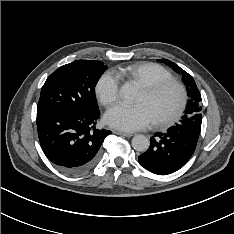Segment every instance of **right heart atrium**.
<instances>
[{
	"instance_id": "d8ad5b80",
	"label": "right heart atrium",
	"mask_w": 234,
	"mask_h": 234,
	"mask_svg": "<svg viewBox=\"0 0 234 234\" xmlns=\"http://www.w3.org/2000/svg\"><path fill=\"white\" fill-rule=\"evenodd\" d=\"M119 79L112 71L104 72L96 82L95 93L104 105L113 104L119 97Z\"/></svg>"
}]
</instances>
